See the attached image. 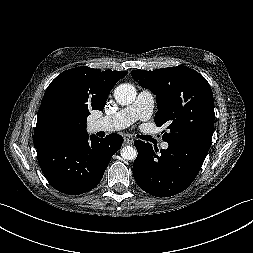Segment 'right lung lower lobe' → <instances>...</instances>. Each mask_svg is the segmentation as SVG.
Here are the masks:
<instances>
[{
	"label": "right lung lower lobe",
	"instance_id": "right-lung-lower-lobe-1",
	"mask_svg": "<svg viewBox=\"0 0 253 253\" xmlns=\"http://www.w3.org/2000/svg\"><path fill=\"white\" fill-rule=\"evenodd\" d=\"M123 138L110 134L100 139L56 137L37 147L38 162L48 182L58 191L78 195L95 188L101 181L113 154Z\"/></svg>",
	"mask_w": 253,
	"mask_h": 253
}]
</instances>
